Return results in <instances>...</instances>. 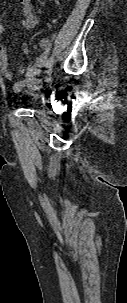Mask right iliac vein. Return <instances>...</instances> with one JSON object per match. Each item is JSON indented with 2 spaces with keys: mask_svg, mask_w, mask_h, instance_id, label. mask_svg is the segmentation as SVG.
Segmentation results:
<instances>
[{
  "mask_svg": "<svg viewBox=\"0 0 127 303\" xmlns=\"http://www.w3.org/2000/svg\"><path fill=\"white\" fill-rule=\"evenodd\" d=\"M51 73H52V68H49L48 70H46L45 71V78L50 77Z\"/></svg>",
  "mask_w": 127,
  "mask_h": 303,
  "instance_id": "1",
  "label": "right iliac vein"
}]
</instances>
